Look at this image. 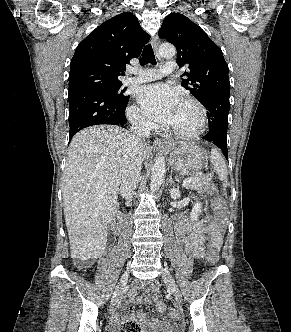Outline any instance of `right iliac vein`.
Listing matches in <instances>:
<instances>
[{"label": "right iliac vein", "instance_id": "1", "mask_svg": "<svg viewBox=\"0 0 291 332\" xmlns=\"http://www.w3.org/2000/svg\"><path fill=\"white\" fill-rule=\"evenodd\" d=\"M128 276H129V272L128 270L122 275V277L120 278V281L116 287L115 293L113 295V299L111 302V307H113L117 301L120 298L121 292L123 291L124 287L126 286L127 280H128Z\"/></svg>", "mask_w": 291, "mask_h": 332}]
</instances>
